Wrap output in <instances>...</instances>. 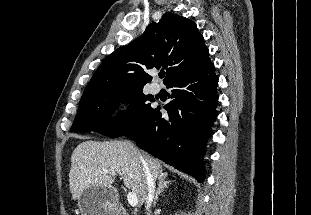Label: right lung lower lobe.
<instances>
[{
  "label": "right lung lower lobe",
  "mask_w": 311,
  "mask_h": 215,
  "mask_svg": "<svg viewBox=\"0 0 311 215\" xmlns=\"http://www.w3.org/2000/svg\"><path fill=\"white\" fill-rule=\"evenodd\" d=\"M218 77L209 61L200 69L179 76L166 86L172 88L171 102L152 109L123 135L138 147L176 169L204 180L203 155L211 126L217 116Z\"/></svg>",
  "instance_id": "98d812e1"
}]
</instances>
